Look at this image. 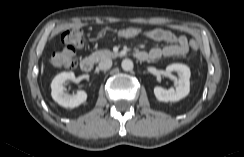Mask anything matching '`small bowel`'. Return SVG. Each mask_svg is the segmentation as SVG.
Masks as SVG:
<instances>
[{
	"label": "small bowel",
	"mask_w": 244,
	"mask_h": 157,
	"mask_svg": "<svg viewBox=\"0 0 244 157\" xmlns=\"http://www.w3.org/2000/svg\"><path fill=\"white\" fill-rule=\"evenodd\" d=\"M141 36L156 42H166L167 45L162 48H152L147 54L152 60L161 57H179L184 56L189 52V41L183 35H177L174 32L164 29H152L144 31Z\"/></svg>",
	"instance_id": "obj_1"
}]
</instances>
